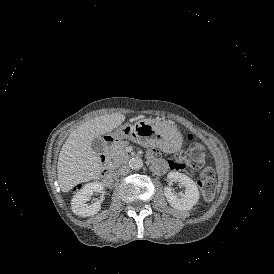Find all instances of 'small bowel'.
<instances>
[{
  "instance_id": "1",
  "label": "small bowel",
  "mask_w": 274,
  "mask_h": 274,
  "mask_svg": "<svg viewBox=\"0 0 274 274\" xmlns=\"http://www.w3.org/2000/svg\"><path fill=\"white\" fill-rule=\"evenodd\" d=\"M148 160L150 162V164L153 167V170L157 173V174H161L157 168V163L158 161L161 160L159 153L157 152V150L155 149H151L148 152Z\"/></svg>"
}]
</instances>
